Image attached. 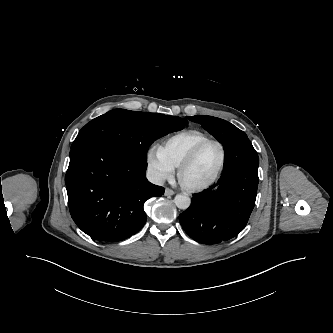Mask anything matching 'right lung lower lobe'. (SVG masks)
Listing matches in <instances>:
<instances>
[{
  "instance_id": "98d812e1",
  "label": "right lung lower lobe",
  "mask_w": 333,
  "mask_h": 333,
  "mask_svg": "<svg viewBox=\"0 0 333 333\" xmlns=\"http://www.w3.org/2000/svg\"><path fill=\"white\" fill-rule=\"evenodd\" d=\"M147 164L107 145L71 146L65 176L68 205L77 226L94 239L117 242L137 233L147 220L144 203L164 194L148 182Z\"/></svg>"
}]
</instances>
